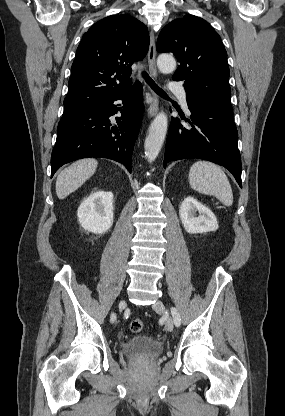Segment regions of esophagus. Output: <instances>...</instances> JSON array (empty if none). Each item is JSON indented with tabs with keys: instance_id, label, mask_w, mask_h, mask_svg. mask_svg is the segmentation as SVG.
<instances>
[{
	"instance_id": "obj_1",
	"label": "esophagus",
	"mask_w": 285,
	"mask_h": 416,
	"mask_svg": "<svg viewBox=\"0 0 285 416\" xmlns=\"http://www.w3.org/2000/svg\"><path fill=\"white\" fill-rule=\"evenodd\" d=\"M148 67L150 74L153 78H157V67H156V46L154 32H150V46L148 50ZM159 107V101L153 90H151V96L149 99V108L147 110L148 116L153 117L156 115Z\"/></svg>"
}]
</instances>
